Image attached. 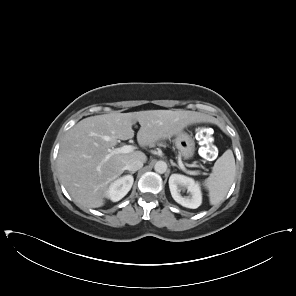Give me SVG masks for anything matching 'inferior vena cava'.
<instances>
[{"instance_id":"1","label":"inferior vena cava","mask_w":296,"mask_h":296,"mask_svg":"<svg viewBox=\"0 0 296 296\" xmlns=\"http://www.w3.org/2000/svg\"><path fill=\"white\" fill-rule=\"evenodd\" d=\"M143 167V161L138 158H132L127 161L125 169L128 171H137Z\"/></svg>"}]
</instances>
